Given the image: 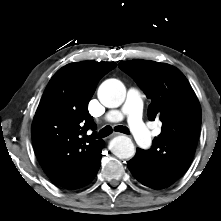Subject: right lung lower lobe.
I'll list each match as a JSON object with an SVG mask.
<instances>
[{
    "instance_id": "1",
    "label": "right lung lower lobe",
    "mask_w": 221,
    "mask_h": 221,
    "mask_svg": "<svg viewBox=\"0 0 221 221\" xmlns=\"http://www.w3.org/2000/svg\"><path fill=\"white\" fill-rule=\"evenodd\" d=\"M100 163H101V150L99 152L98 160H97L96 164L94 165L93 169L91 170L90 174L88 175L86 180L78 188H80V187H82L92 181V179L95 177V175L97 174V172L99 170Z\"/></svg>"
}]
</instances>
